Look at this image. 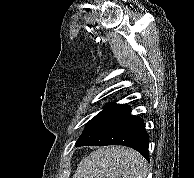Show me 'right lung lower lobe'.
I'll use <instances>...</instances> for the list:
<instances>
[{"instance_id":"98d812e1","label":"right lung lower lobe","mask_w":194,"mask_h":178,"mask_svg":"<svg viewBox=\"0 0 194 178\" xmlns=\"http://www.w3.org/2000/svg\"><path fill=\"white\" fill-rule=\"evenodd\" d=\"M149 136L143 120L131 114L128 105H123L82 138L76 147L86 145H124L137 150L149 160Z\"/></svg>"}]
</instances>
